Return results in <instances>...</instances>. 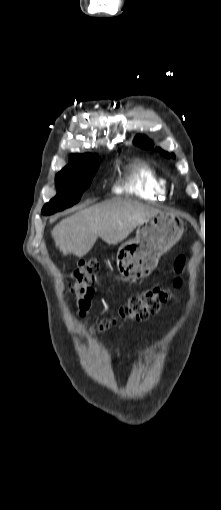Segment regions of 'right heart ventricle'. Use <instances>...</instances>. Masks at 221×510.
<instances>
[{
  "label": "right heart ventricle",
  "instance_id": "obj_1",
  "mask_svg": "<svg viewBox=\"0 0 221 510\" xmlns=\"http://www.w3.org/2000/svg\"><path fill=\"white\" fill-rule=\"evenodd\" d=\"M167 180L151 165L134 162L126 179L116 187L117 193H126L150 201H161L167 194Z\"/></svg>",
  "mask_w": 221,
  "mask_h": 510
}]
</instances>
